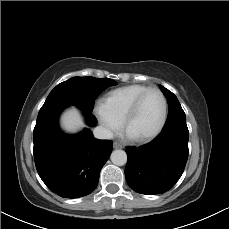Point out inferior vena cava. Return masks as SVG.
Segmentation results:
<instances>
[{"instance_id": "1", "label": "inferior vena cava", "mask_w": 229, "mask_h": 229, "mask_svg": "<svg viewBox=\"0 0 229 229\" xmlns=\"http://www.w3.org/2000/svg\"><path fill=\"white\" fill-rule=\"evenodd\" d=\"M94 137L97 139H112L113 133L102 126H98L93 131Z\"/></svg>"}]
</instances>
